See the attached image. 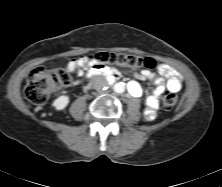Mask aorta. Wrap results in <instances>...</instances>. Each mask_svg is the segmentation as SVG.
<instances>
[{
	"label": "aorta",
	"mask_w": 222,
	"mask_h": 187,
	"mask_svg": "<svg viewBox=\"0 0 222 187\" xmlns=\"http://www.w3.org/2000/svg\"><path fill=\"white\" fill-rule=\"evenodd\" d=\"M114 91L117 93H122L125 91V84L122 82L116 83L114 85Z\"/></svg>",
	"instance_id": "obj_1"
}]
</instances>
